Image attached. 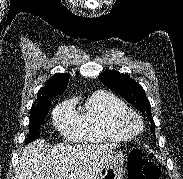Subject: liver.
<instances>
[{"mask_svg":"<svg viewBox=\"0 0 183 179\" xmlns=\"http://www.w3.org/2000/svg\"><path fill=\"white\" fill-rule=\"evenodd\" d=\"M117 147L64 143L49 147L38 139L23 149L14 179H96Z\"/></svg>","mask_w":183,"mask_h":179,"instance_id":"obj_1","label":"liver"}]
</instances>
